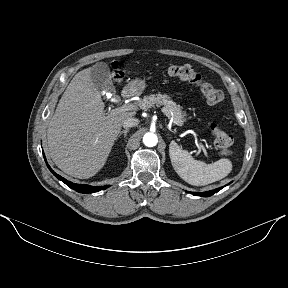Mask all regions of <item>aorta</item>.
Returning a JSON list of instances; mask_svg holds the SVG:
<instances>
[{"label": "aorta", "mask_w": 288, "mask_h": 288, "mask_svg": "<svg viewBox=\"0 0 288 288\" xmlns=\"http://www.w3.org/2000/svg\"><path fill=\"white\" fill-rule=\"evenodd\" d=\"M158 137L155 133L148 132L143 137V143L147 147H153L157 144Z\"/></svg>", "instance_id": "aorta-1"}]
</instances>
